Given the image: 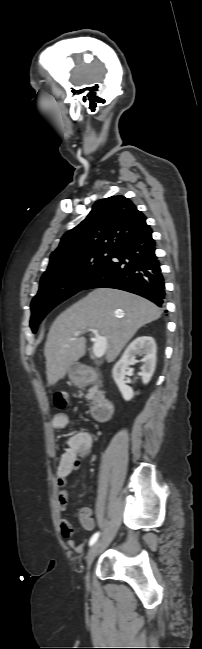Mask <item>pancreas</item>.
Wrapping results in <instances>:
<instances>
[{
	"mask_svg": "<svg viewBox=\"0 0 202 649\" xmlns=\"http://www.w3.org/2000/svg\"><path fill=\"white\" fill-rule=\"evenodd\" d=\"M92 399H93V394H92V393H89V394L87 395V400L91 401Z\"/></svg>",
	"mask_w": 202,
	"mask_h": 649,
	"instance_id": "cf45deb5",
	"label": "pancreas"
}]
</instances>
